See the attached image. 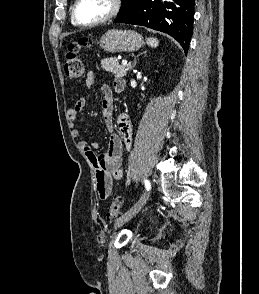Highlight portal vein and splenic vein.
Listing matches in <instances>:
<instances>
[{"label":"portal vein and splenic vein","mask_w":259,"mask_h":294,"mask_svg":"<svg viewBox=\"0 0 259 294\" xmlns=\"http://www.w3.org/2000/svg\"><path fill=\"white\" fill-rule=\"evenodd\" d=\"M122 65L126 66V65H130V64L127 62V60H122Z\"/></svg>","instance_id":"obj_1"}]
</instances>
